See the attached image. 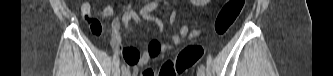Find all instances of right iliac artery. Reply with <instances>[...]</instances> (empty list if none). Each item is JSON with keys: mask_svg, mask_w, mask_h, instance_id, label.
Returning a JSON list of instances; mask_svg holds the SVG:
<instances>
[{"mask_svg": "<svg viewBox=\"0 0 333 76\" xmlns=\"http://www.w3.org/2000/svg\"><path fill=\"white\" fill-rule=\"evenodd\" d=\"M156 6H157V3H156V2H152V3L148 4L146 7H144V8L140 11V13L142 14L143 12H150V11H152L153 9H155ZM121 70H122V72H124V71L127 70L125 64H123V65L121 66Z\"/></svg>", "mask_w": 333, "mask_h": 76, "instance_id": "obj_1", "label": "right iliac artery"}]
</instances>
